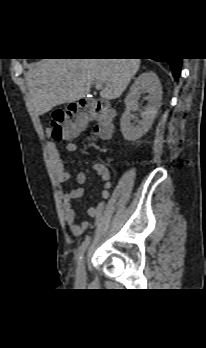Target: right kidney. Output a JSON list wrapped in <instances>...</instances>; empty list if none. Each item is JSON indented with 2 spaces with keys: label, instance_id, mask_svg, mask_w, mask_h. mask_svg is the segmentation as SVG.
<instances>
[{
  "label": "right kidney",
  "instance_id": "ca27d5eb",
  "mask_svg": "<svg viewBox=\"0 0 206 348\" xmlns=\"http://www.w3.org/2000/svg\"><path fill=\"white\" fill-rule=\"evenodd\" d=\"M144 91L148 93L145 98L148 103L141 113V120L135 125L131 123V112L137 109L138 99ZM161 99L162 87L156 73L144 72L135 79L125 98L126 110L120 120L121 132L127 141H135L148 132L161 106Z\"/></svg>",
  "mask_w": 206,
  "mask_h": 348
}]
</instances>
